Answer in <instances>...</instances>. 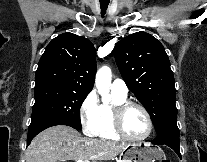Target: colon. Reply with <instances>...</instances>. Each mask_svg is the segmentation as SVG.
I'll return each mask as SVG.
<instances>
[{"mask_svg":"<svg viewBox=\"0 0 207 162\" xmlns=\"http://www.w3.org/2000/svg\"><path fill=\"white\" fill-rule=\"evenodd\" d=\"M159 162H170L169 160H160Z\"/></svg>","mask_w":207,"mask_h":162,"instance_id":"colon-1","label":"colon"}]
</instances>
